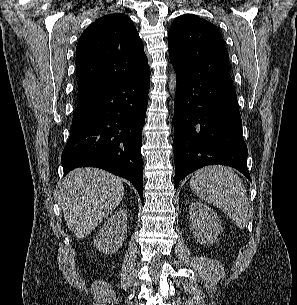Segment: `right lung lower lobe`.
<instances>
[{
	"label": "right lung lower lobe",
	"instance_id": "obj_1",
	"mask_svg": "<svg viewBox=\"0 0 297 305\" xmlns=\"http://www.w3.org/2000/svg\"><path fill=\"white\" fill-rule=\"evenodd\" d=\"M150 68L78 101L62 152L64 175L96 166L128 179L143 197L141 155Z\"/></svg>",
	"mask_w": 297,
	"mask_h": 305
}]
</instances>
